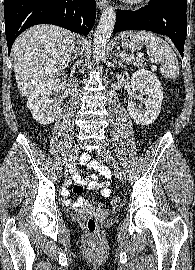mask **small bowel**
<instances>
[{
  "mask_svg": "<svg viewBox=\"0 0 195 270\" xmlns=\"http://www.w3.org/2000/svg\"><path fill=\"white\" fill-rule=\"evenodd\" d=\"M82 162L87 164V167L95 172L85 178L80 176L76 177V186L73 188L75 194L82 192L84 186H87L91 190H99L103 197H108L111 193V172L108 167L98 161L91 160L87 155L82 157ZM98 175L104 178V181L98 180ZM66 204L70 206L84 205L87 202L82 198L78 197L75 199H66Z\"/></svg>",
  "mask_w": 195,
  "mask_h": 270,
  "instance_id": "small-bowel-1",
  "label": "small bowel"
}]
</instances>
